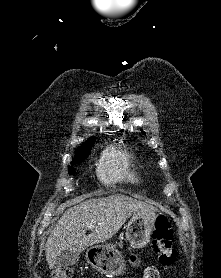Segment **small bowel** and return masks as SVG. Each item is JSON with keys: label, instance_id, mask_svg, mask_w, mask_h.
Instances as JSON below:
<instances>
[{"label": "small bowel", "instance_id": "small-bowel-1", "mask_svg": "<svg viewBox=\"0 0 221 278\" xmlns=\"http://www.w3.org/2000/svg\"><path fill=\"white\" fill-rule=\"evenodd\" d=\"M130 261H131V263H132L133 265L136 264L135 257H131V258H130ZM143 278H150V277L148 276V274H147V271L145 272Z\"/></svg>", "mask_w": 221, "mask_h": 278}]
</instances>
